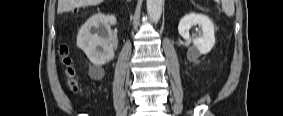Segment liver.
<instances>
[{"mask_svg": "<svg viewBox=\"0 0 283 116\" xmlns=\"http://www.w3.org/2000/svg\"><path fill=\"white\" fill-rule=\"evenodd\" d=\"M102 2V0H58L57 12L59 14L70 11L74 8L88 5H96Z\"/></svg>", "mask_w": 283, "mask_h": 116, "instance_id": "1", "label": "liver"}]
</instances>
